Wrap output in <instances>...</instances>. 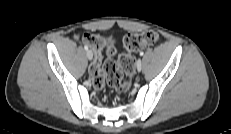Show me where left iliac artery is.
I'll return each mask as SVG.
<instances>
[{"label": "left iliac artery", "instance_id": "1", "mask_svg": "<svg viewBox=\"0 0 231 134\" xmlns=\"http://www.w3.org/2000/svg\"><path fill=\"white\" fill-rule=\"evenodd\" d=\"M143 55H144V52H143V51H141V52H140V56H143Z\"/></svg>", "mask_w": 231, "mask_h": 134}]
</instances>
